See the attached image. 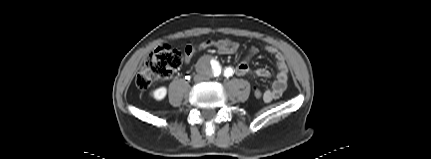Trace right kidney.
Instances as JSON below:
<instances>
[{
  "label": "right kidney",
  "instance_id": "1",
  "mask_svg": "<svg viewBox=\"0 0 431 159\" xmlns=\"http://www.w3.org/2000/svg\"><path fill=\"white\" fill-rule=\"evenodd\" d=\"M167 94V88L166 87H160L158 89H155L154 91H152L151 95L153 96L154 99L156 100H162L165 98Z\"/></svg>",
  "mask_w": 431,
  "mask_h": 159
}]
</instances>
